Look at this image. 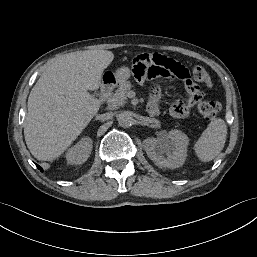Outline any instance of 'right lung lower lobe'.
I'll use <instances>...</instances> for the list:
<instances>
[{
	"instance_id": "1",
	"label": "right lung lower lobe",
	"mask_w": 257,
	"mask_h": 257,
	"mask_svg": "<svg viewBox=\"0 0 257 257\" xmlns=\"http://www.w3.org/2000/svg\"><path fill=\"white\" fill-rule=\"evenodd\" d=\"M38 169H40V171H43V169L39 166V165H36Z\"/></svg>"
}]
</instances>
